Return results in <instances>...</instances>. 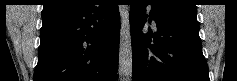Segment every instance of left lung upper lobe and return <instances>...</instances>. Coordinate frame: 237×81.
Returning a JSON list of instances; mask_svg holds the SVG:
<instances>
[{
    "label": "left lung upper lobe",
    "mask_w": 237,
    "mask_h": 81,
    "mask_svg": "<svg viewBox=\"0 0 237 81\" xmlns=\"http://www.w3.org/2000/svg\"><path fill=\"white\" fill-rule=\"evenodd\" d=\"M152 2L164 11L197 15L194 0H152Z\"/></svg>",
    "instance_id": "left-lung-upper-lobe-1"
}]
</instances>
